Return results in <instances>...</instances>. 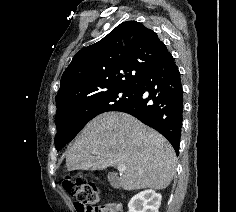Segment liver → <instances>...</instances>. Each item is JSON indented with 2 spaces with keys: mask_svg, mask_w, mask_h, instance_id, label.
Listing matches in <instances>:
<instances>
[{
  "mask_svg": "<svg viewBox=\"0 0 236 212\" xmlns=\"http://www.w3.org/2000/svg\"><path fill=\"white\" fill-rule=\"evenodd\" d=\"M92 150L98 154H92ZM125 165L119 185L124 190L165 189L173 179L176 155L160 133L123 112H106L91 120L66 154L73 170H104Z\"/></svg>",
  "mask_w": 236,
  "mask_h": 212,
  "instance_id": "1",
  "label": "liver"
}]
</instances>
